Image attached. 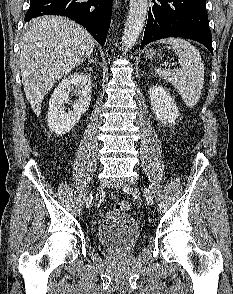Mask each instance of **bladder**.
<instances>
[{
  "mask_svg": "<svg viewBox=\"0 0 233 294\" xmlns=\"http://www.w3.org/2000/svg\"><path fill=\"white\" fill-rule=\"evenodd\" d=\"M96 236L107 250L126 253L139 241L140 228L135 218L124 211H110L97 226Z\"/></svg>",
  "mask_w": 233,
  "mask_h": 294,
  "instance_id": "bladder-1",
  "label": "bladder"
}]
</instances>
